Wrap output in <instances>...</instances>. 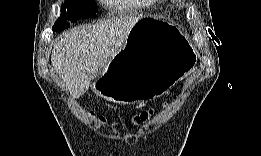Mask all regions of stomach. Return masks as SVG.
Instances as JSON below:
<instances>
[{
    "label": "stomach",
    "mask_w": 261,
    "mask_h": 156,
    "mask_svg": "<svg viewBox=\"0 0 261 156\" xmlns=\"http://www.w3.org/2000/svg\"><path fill=\"white\" fill-rule=\"evenodd\" d=\"M161 37L167 40L173 55L156 56L139 68L119 67L122 60ZM112 60L113 69L95 79L93 90L109 101L135 104L163 95L193 67L196 55L178 26L162 19L143 18L129 32L124 46Z\"/></svg>",
    "instance_id": "obj_1"
}]
</instances>
